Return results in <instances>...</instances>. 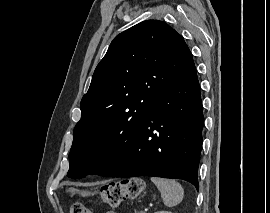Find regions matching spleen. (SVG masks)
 <instances>
[{
    "instance_id": "obj_1",
    "label": "spleen",
    "mask_w": 270,
    "mask_h": 213,
    "mask_svg": "<svg viewBox=\"0 0 270 213\" xmlns=\"http://www.w3.org/2000/svg\"><path fill=\"white\" fill-rule=\"evenodd\" d=\"M151 181L157 186L166 206H176L183 200L184 190L177 181L157 177H152Z\"/></svg>"
}]
</instances>
